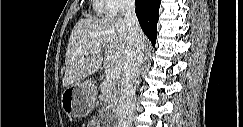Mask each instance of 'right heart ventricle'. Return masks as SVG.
<instances>
[{
    "label": "right heart ventricle",
    "mask_w": 243,
    "mask_h": 127,
    "mask_svg": "<svg viewBox=\"0 0 243 127\" xmlns=\"http://www.w3.org/2000/svg\"><path fill=\"white\" fill-rule=\"evenodd\" d=\"M95 9L100 15L104 14L109 9V4L107 1H96Z\"/></svg>",
    "instance_id": "e07e8e85"
}]
</instances>
